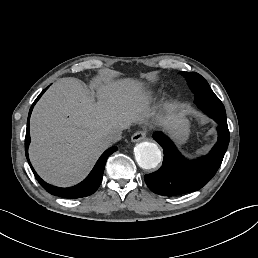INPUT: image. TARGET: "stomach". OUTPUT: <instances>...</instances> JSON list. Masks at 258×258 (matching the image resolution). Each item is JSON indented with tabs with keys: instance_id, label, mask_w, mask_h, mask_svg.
<instances>
[{
	"instance_id": "0dacf381",
	"label": "stomach",
	"mask_w": 258,
	"mask_h": 258,
	"mask_svg": "<svg viewBox=\"0 0 258 258\" xmlns=\"http://www.w3.org/2000/svg\"><path fill=\"white\" fill-rule=\"evenodd\" d=\"M190 133V122L187 118H184L180 128L178 129L175 138L183 143L187 140Z\"/></svg>"
}]
</instances>
